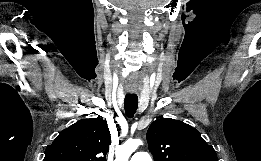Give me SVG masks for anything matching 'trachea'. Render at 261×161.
<instances>
[{
	"label": "trachea",
	"mask_w": 261,
	"mask_h": 161,
	"mask_svg": "<svg viewBox=\"0 0 261 161\" xmlns=\"http://www.w3.org/2000/svg\"><path fill=\"white\" fill-rule=\"evenodd\" d=\"M138 107V97L136 95H126L124 109L127 117L132 118Z\"/></svg>",
	"instance_id": "obj_1"
}]
</instances>
